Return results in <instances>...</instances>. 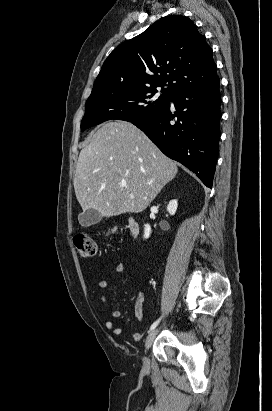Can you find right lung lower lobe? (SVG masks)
I'll use <instances>...</instances> for the list:
<instances>
[{
    "label": "right lung lower lobe",
    "mask_w": 272,
    "mask_h": 411,
    "mask_svg": "<svg viewBox=\"0 0 272 411\" xmlns=\"http://www.w3.org/2000/svg\"><path fill=\"white\" fill-rule=\"evenodd\" d=\"M219 78L211 84L178 92L153 116L133 123L169 158L212 188L219 153L221 95Z\"/></svg>",
    "instance_id": "obj_1"
}]
</instances>
